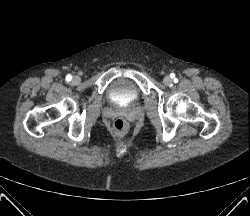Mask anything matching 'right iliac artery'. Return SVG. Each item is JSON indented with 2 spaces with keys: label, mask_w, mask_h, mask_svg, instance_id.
Wrapping results in <instances>:
<instances>
[{
  "label": "right iliac artery",
  "mask_w": 250,
  "mask_h": 216,
  "mask_svg": "<svg viewBox=\"0 0 250 216\" xmlns=\"http://www.w3.org/2000/svg\"><path fill=\"white\" fill-rule=\"evenodd\" d=\"M71 79H72V76H71L70 74H68V75L66 76V80H67V81H71Z\"/></svg>",
  "instance_id": "obj_1"
}]
</instances>
